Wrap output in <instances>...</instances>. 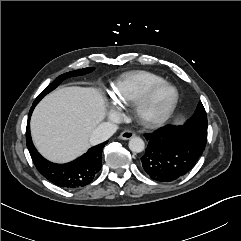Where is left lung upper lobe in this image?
I'll list each match as a JSON object with an SVG mask.
<instances>
[{"mask_svg": "<svg viewBox=\"0 0 241 241\" xmlns=\"http://www.w3.org/2000/svg\"><path fill=\"white\" fill-rule=\"evenodd\" d=\"M185 125L197 130L204 138L207 139V116L201 102H199L193 116L187 120Z\"/></svg>", "mask_w": 241, "mask_h": 241, "instance_id": "obj_1", "label": "left lung upper lobe"}]
</instances>
